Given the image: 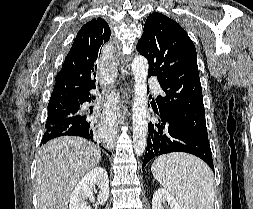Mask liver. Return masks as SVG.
<instances>
[{
    "instance_id": "obj_1",
    "label": "liver",
    "mask_w": 253,
    "mask_h": 209,
    "mask_svg": "<svg viewBox=\"0 0 253 209\" xmlns=\"http://www.w3.org/2000/svg\"><path fill=\"white\" fill-rule=\"evenodd\" d=\"M100 160L99 147L80 137L62 136L43 145L35 179L38 209H68L75 186Z\"/></svg>"
}]
</instances>
